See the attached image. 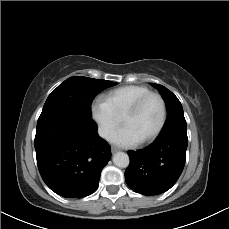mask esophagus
Instances as JSON below:
<instances>
[{"instance_id":"1","label":"esophagus","mask_w":229,"mask_h":229,"mask_svg":"<svg viewBox=\"0 0 229 229\" xmlns=\"http://www.w3.org/2000/svg\"><path fill=\"white\" fill-rule=\"evenodd\" d=\"M117 151H119V149L117 147H115V146L111 147L112 154L116 153Z\"/></svg>"}]
</instances>
